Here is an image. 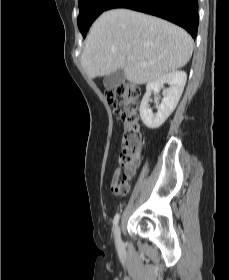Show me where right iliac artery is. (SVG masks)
<instances>
[{"label":"right iliac artery","instance_id":"right-iliac-artery-1","mask_svg":"<svg viewBox=\"0 0 229 280\" xmlns=\"http://www.w3.org/2000/svg\"><path fill=\"white\" fill-rule=\"evenodd\" d=\"M119 218H120V215H119V213H117L114 217V220H113V224H114L115 227L117 226V224L119 222Z\"/></svg>","mask_w":229,"mask_h":280}]
</instances>
